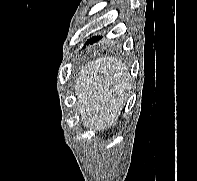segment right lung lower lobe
<instances>
[{
  "mask_svg": "<svg viewBox=\"0 0 197 181\" xmlns=\"http://www.w3.org/2000/svg\"><path fill=\"white\" fill-rule=\"evenodd\" d=\"M98 39H99V36L98 37H93L92 39L88 40L87 43H92V42H94Z\"/></svg>",
  "mask_w": 197,
  "mask_h": 181,
  "instance_id": "obj_1",
  "label": "right lung lower lobe"
}]
</instances>
